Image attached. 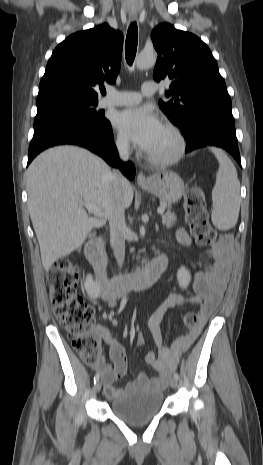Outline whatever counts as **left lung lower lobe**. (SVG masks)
Listing matches in <instances>:
<instances>
[{
  "label": "left lung lower lobe",
  "mask_w": 263,
  "mask_h": 465,
  "mask_svg": "<svg viewBox=\"0 0 263 465\" xmlns=\"http://www.w3.org/2000/svg\"><path fill=\"white\" fill-rule=\"evenodd\" d=\"M183 135L187 141L186 153L197 148L216 146L228 151L241 166L233 117L207 112L194 128L183 132Z\"/></svg>",
  "instance_id": "0a47b994"
}]
</instances>
